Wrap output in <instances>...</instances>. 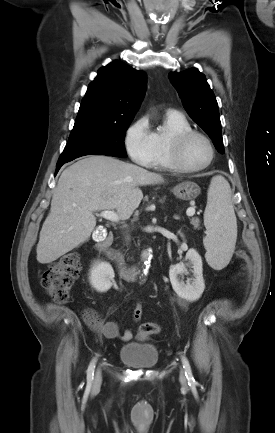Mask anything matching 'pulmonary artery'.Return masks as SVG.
I'll return each instance as SVG.
<instances>
[{"instance_id":"e3ab8cb5","label":"pulmonary artery","mask_w":275,"mask_h":433,"mask_svg":"<svg viewBox=\"0 0 275 433\" xmlns=\"http://www.w3.org/2000/svg\"><path fill=\"white\" fill-rule=\"evenodd\" d=\"M170 112L178 113V111H176V110H170Z\"/></svg>"}]
</instances>
